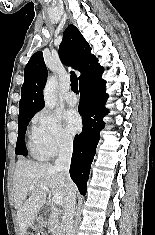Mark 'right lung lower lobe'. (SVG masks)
Instances as JSON below:
<instances>
[{
    "instance_id": "98d812e1",
    "label": "right lung lower lobe",
    "mask_w": 155,
    "mask_h": 235,
    "mask_svg": "<svg viewBox=\"0 0 155 235\" xmlns=\"http://www.w3.org/2000/svg\"><path fill=\"white\" fill-rule=\"evenodd\" d=\"M102 75V74H101ZM97 75L80 85L79 112L82 115L83 130L75 136L70 176L77 185L80 194L85 195L100 131L105 126L103 117L108 114L105 103L108 98L106 81Z\"/></svg>"
}]
</instances>
